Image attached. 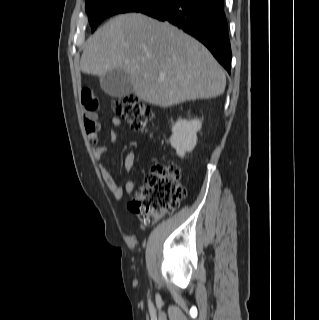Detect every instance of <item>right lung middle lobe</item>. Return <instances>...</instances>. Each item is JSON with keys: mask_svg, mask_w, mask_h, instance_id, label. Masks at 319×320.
Masks as SVG:
<instances>
[{"mask_svg": "<svg viewBox=\"0 0 319 320\" xmlns=\"http://www.w3.org/2000/svg\"><path fill=\"white\" fill-rule=\"evenodd\" d=\"M159 1L161 0H86V11L90 25L94 30L108 16L118 13L137 12L141 8Z\"/></svg>", "mask_w": 319, "mask_h": 320, "instance_id": "1", "label": "right lung middle lobe"}]
</instances>
